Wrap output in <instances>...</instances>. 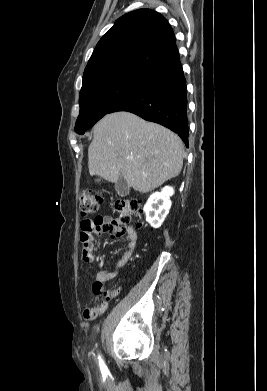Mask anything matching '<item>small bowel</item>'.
<instances>
[{"label":"small bowel","mask_w":267,"mask_h":391,"mask_svg":"<svg viewBox=\"0 0 267 391\" xmlns=\"http://www.w3.org/2000/svg\"><path fill=\"white\" fill-rule=\"evenodd\" d=\"M109 233L116 237L125 235V245L122 255L114 271L107 272L104 270L98 271L96 275V281L93 285V291L97 296L109 300L118 294L119 289L114 288L106 290L104 285L107 281L115 278L120 269L129 261L137 243V231L131 225L121 226L115 219L107 216H98L95 219H85L81 222L80 240L86 238V243L82 245V260L85 262H92L95 258L94 242L97 236ZM106 303L102 302L94 308L86 309L84 311L85 319H93L98 316L104 309Z\"/></svg>","instance_id":"obj_1"}]
</instances>
